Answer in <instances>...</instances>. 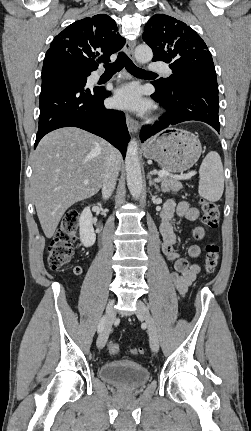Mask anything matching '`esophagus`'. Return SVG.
<instances>
[{
  "mask_svg": "<svg viewBox=\"0 0 251 431\" xmlns=\"http://www.w3.org/2000/svg\"><path fill=\"white\" fill-rule=\"evenodd\" d=\"M135 42L127 41L125 44V52L129 58L134 59ZM126 125L130 133L135 134L138 132V122L134 120L129 114H126Z\"/></svg>",
  "mask_w": 251,
  "mask_h": 431,
  "instance_id": "esophagus-1",
  "label": "esophagus"
}]
</instances>
